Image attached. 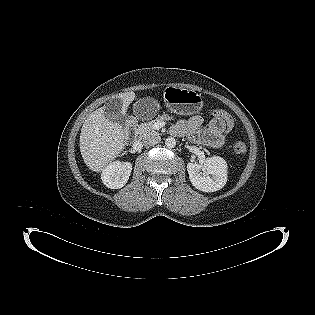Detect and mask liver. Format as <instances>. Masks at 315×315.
Returning <instances> with one entry per match:
<instances>
[{
	"instance_id": "liver-1",
	"label": "liver",
	"mask_w": 315,
	"mask_h": 315,
	"mask_svg": "<svg viewBox=\"0 0 315 315\" xmlns=\"http://www.w3.org/2000/svg\"><path fill=\"white\" fill-rule=\"evenodd\" d=\"M116 98L122 101L121 113L125 114L135 93H121ZM127 140L123 127L105 117L104 107L96 109L81 128L79 145L84 163L94 172L103 171L124 150Z\"/></svg>"
}]
</instances>
